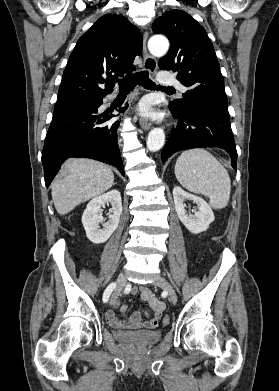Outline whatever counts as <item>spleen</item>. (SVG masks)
<instances>
[{"mask_svg": "<svg viewBox=\"0 0 279 391\" xmlns=\"http://www.w3.org/2000/svg\"><path fill=\"white\" fill-rule=\"evenodd\" d=\"M175 176L187 190L207 196L213 208L227 206L231 191L229 174L207 150L195 148L182 152L175 164Z\"/></svg>", "mask_w": 279, "mask_h": 391, "instance_id": "3e777b00", "label": "spleen"}]
</instances>
